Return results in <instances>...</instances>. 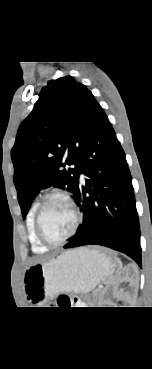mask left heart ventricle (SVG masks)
<instances>
[{
	"label": "left heart ventricle",
	"instance_id": "obj_1",
	"mask_svg": "<svg viewBox=\"0 0 152 369\" xmlns=\"http://www.w3.org/2000/svg\"><path fill=\"white\" fill-rule=\"evenodd\" d=\"M74 220L71 207L61 199H53L43 211L41 226L49 240L57 241L70 233Z\"/></svg>",
	"mask_w": 152,
	"mask_h": 369
}]
</instances>
